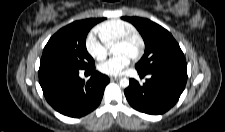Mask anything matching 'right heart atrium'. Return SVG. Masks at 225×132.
<instances>
[{"mask_svg": "<svg viewBox=\"0 0 225 132\" xmlns=\"http://www.w3.org/2000/svg\"><path fill=\"white\" fill-rule=\"evenodd\" d=\"M85 47L89 55L95 60H103L107 56V46L94 33H89L85 39Z\"/></svg>", "mask_w": 225, "mask_h": 132, "instance_id": "right-heart-atrium-1", "label": "right heart atrium"}]
</instances>
